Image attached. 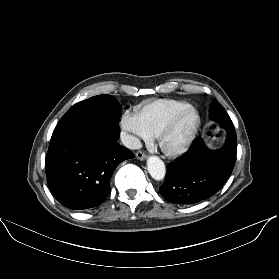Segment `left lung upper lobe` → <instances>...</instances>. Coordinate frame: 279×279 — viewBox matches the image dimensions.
I'll return each mask as SVG.
<instances>
[{
	"mask_svg": "<svg viewBox=\"0 0 279 279\" xmlns=\"http://www.w3.org/2000/svg\"><path fill=\"white\" fill-rule=\"evenodd\" d=\"M209 117L211 120L219 123L221 127H224L226 123L232 124V121L225 109L219 105L215 99L210 105Z\"/></svg>",
	"mask_w": 279,
	"mask_h": 279,
	"instance_id": "5c2ea615",
	"label": "left lung upper lobe"
}]
</instances>
